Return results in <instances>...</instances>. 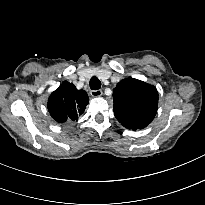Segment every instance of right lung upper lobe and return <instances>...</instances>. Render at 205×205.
Masks as SVG:
<instances>
[{
    "label": "right lung upper lobe",
    "instance_id": "right-lung-upper-lobe-1",
    "mask_svg": "<svg viewBox=\"0 0 205 205\" xmlns=\"http://www.w3.org/2000/svg\"><path fill=\"white\" fill-rule=\"evenodd\" d=\"M89 98L84 90H77L76 87L67 81L55 90L48 99V110L53 119L58 123L65 121H77L84 112Z\"/></svg>",
    "mask_w": 205,
    "mask_h": 205
}]
</instances>
